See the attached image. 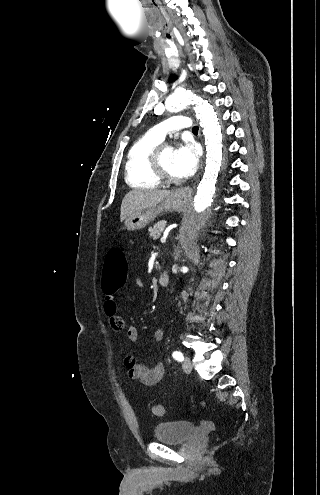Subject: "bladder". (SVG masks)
<instances>
[{"mask_svg": "<svg viewBox=\"0 0 320 495\" xmlns=\"http://www.w3.org/2000/svg\"><path fill=\"white\" fill-rule=\"evenodd\" d=\"M195 430L196 425L191 421L161 422L154 427L153 437L162 443L179 444L186 441Z\"/></svg>", "mask_w": 320, "mask_h": 495, "instance_id": "obj_1", "label": "bladder"}]
</instances>
